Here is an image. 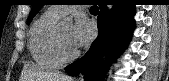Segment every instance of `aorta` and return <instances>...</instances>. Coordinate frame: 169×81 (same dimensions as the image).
<instances>
[{
  "instance_id": "762f6f07",
  "label": "aorta",
  "mask_w": 169,
  "mask_h": 81,
  "mask_svg": "<svg viewBox=\"0 0 169 81\" xmlns=\"http://www.w3.org/2000/svg\"><path fill=\"white\" fill-rule=\"evenodd\" d=\"M112 9V6L111 5H108V10L110 11ZM62 23H64V24H71L72 23V18L71 17H69V16H66V17H64L63 19H62ZM106 55H107V53H106V51L103 53V60L105 61V59H106Z\"/></svg>"
}]
</instances>
